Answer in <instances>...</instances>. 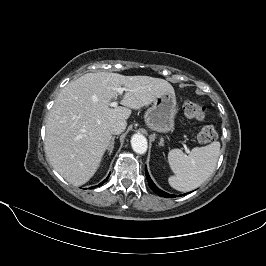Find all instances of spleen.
Returning a JSON list of instances; mask_svg holds the SVG:
<instances>
[{"mask_svg": "<svg viewBox=\"0 0 266 266\" xmlns=\"http://www.w3.org/2000/svg\"><path fill=\"white\" fill-rule=\"evenodd\" d=\"M220 155V143L214 141L203 147H195L189 155L180 149L168 153V162L175 175L168 178L171 187L188 192L199 187L214 172Z\"/></svg>", "mask_w": 266, "mask_h": 266, "instance_id": "obj_1", "label": "spleen"}]
</instances>
